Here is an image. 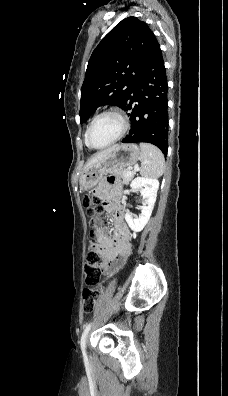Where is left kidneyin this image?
<instances>
[{"label":"left kidney","instance_id":"1","mask_svg":"<svg viewBox=\"0 0 228 396\" xmlns=\"http://www.w3.org/2000/svg\"><path fill=\"white\" fill-rule=\"evenodd\" d=\"M130 187L133 190H140L143 197L141 214L139 217L134 218L127 212L125 214V220L133 231L140 232L146 226L152 214L159 188V181L153 178L137 177L131 182Z\"/></svg>","mask_w":228,"mask_h":396}]
</instances>
